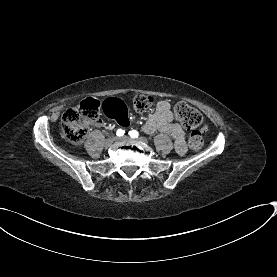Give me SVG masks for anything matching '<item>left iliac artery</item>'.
Returning a JSON list of instances; mask_svg holds the SVG:
<instances>
[{
  "mask_svg": "<svg viewBox=\"0 0 277 277\" xmlns=\"http://www.w3.org/2000/svg\"><path fill=\"white\" fill-rule=\"evenodd\" d=\"M129 136H130L131 138H137V137L139 136V133H138L136 130H131V131L129 132Z\"/></svg>",
  "mask_w": 277,
  "mask_h": 277,
  "instance_id": "1",
  "label": "left iliac artery"
}]
</instances>
